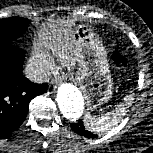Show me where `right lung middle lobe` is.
<instances>
[{
  "mask_svg": "<svg viewBox=\"0 0 153 153\" xmlns=\"http://www.w3.org/2000/svg\"><path fill=\"white\" fill-rule=\"evenodd\" d=\"M30 20L21 17L0 19V42L12 43L23 34Z\"/></svg>",
  "mask_w": 153,
  "mask_h": 153,
  "instance_id": "right-lung-middle-lobe-1",
  "label": "right lung middle lobe"
}]
</instances>
